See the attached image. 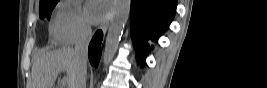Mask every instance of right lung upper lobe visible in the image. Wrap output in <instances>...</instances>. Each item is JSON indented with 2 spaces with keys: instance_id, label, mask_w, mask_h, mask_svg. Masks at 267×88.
<instances>
[{
  "instance_id": "obj_1",
  "label": "right lung upper lobe",
  "mask_w": 267,
  "mask_h": 88,
  "mask_svg": "<svg viewBox=\"0 0 267 88\" xmlns=\"http://www.w3.org/2000/svg\"><path fill=\"white\" fill-rule=\"evenodd\" d=\"M43 1H45V0H40V2H43Z\"/></svg>"
}]
</instances>
